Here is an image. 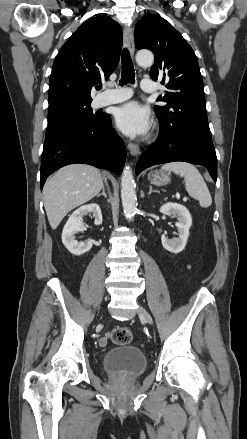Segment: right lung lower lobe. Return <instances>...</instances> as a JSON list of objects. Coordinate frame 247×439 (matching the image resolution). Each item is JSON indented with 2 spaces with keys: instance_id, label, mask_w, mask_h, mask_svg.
I'll return each instance as SVG.
<instances>
[{
  "instance_id": "1",
  "label": "right lung lower lobe",
  "mask_w": 247,
  "mask_h": 439,
  "mask_svg": "<svg viewBox=\"0 0 247 439\" xmlns=\"http://www.w3.org/2000/svg\"><path fill=\"white\" fill-rule=\"evenodd\" d=\"M126 158L123 140L103 114L92 124H77L46 134L41 161V189L57 169L84 163L120 174Z\"/></svg>"
}]
</instances>
